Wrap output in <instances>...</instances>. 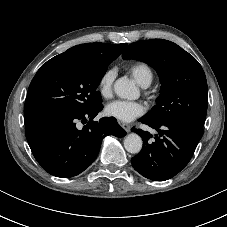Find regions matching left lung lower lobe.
I'll use <instances>...</instances> for the list:
<instances>
[{
  "instance_id": "obj_1",
  "label": "left lung lower lobe",
  "mask_w": 227,
  "mask_h": 227,
  "mask_svg": "<svg viewBox=\"0 0 227 227\" xmlns=\"http://www.w3.org/2000/svg\"><path fill=\"white\" fill-rule=\"evenodd\" d=\"M139 121L158 131L155 136L141 129L132 131L142 137L143 148L131 159L134 169L142 176L165 181L185 168L203 136V127L183 120Z\"/></svg>"
}]
</instances>
